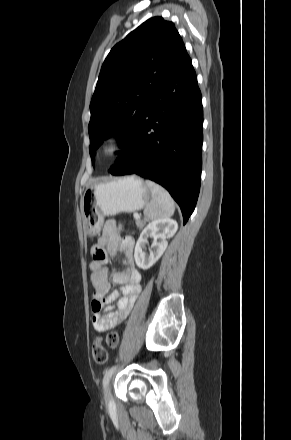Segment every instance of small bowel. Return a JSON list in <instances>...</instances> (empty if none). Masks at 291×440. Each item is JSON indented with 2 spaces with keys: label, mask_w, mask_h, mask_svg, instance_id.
I'll return each mask as SVG.
<instances>
[{
  "label": "small bowel",
  "mask_w": 291,
  "mask_h": 440,
  "mask_svg": "<svg viewBox=\"0 0 291 440\" xmlns=\"http://www.w3.org/2000/svg\"><path fill=\"white\" fill-rule=\"evenodd\" d=\"M135 240L132 236L121 237L112 221L104 225L102 235L91 249L92 260L89 264L90 279L94 289L92 300V322L99 333H105L118 327L128 316L141 290V275L134 267L133 250ZM122 255V266L110 274V279L120 285L109 293L111 284L104 266L108 254ZM118 299L117 307L110 304ZM104 305H106L104 307ZM107 321V322H104Z\"/></svg>",
  "instance_id": "1"
}]
</instances>
